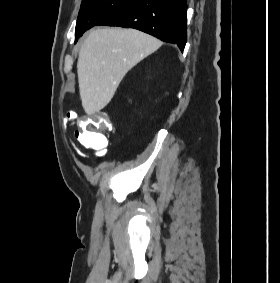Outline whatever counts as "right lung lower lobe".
Returning <instances> with one entry per match:
<instances>
[{"instance_id":"1","label":"right lung lower lobe","mask_w":280,"mask_h":283,"mask_svg":"<svg viewBox=\"0 0 280 283\" xmlns=\"http://www.w3.org/2000/svg\"><path fill=\"white\" fill-rule=\"evenodd\" d=\"M186 0H134L98 25L135 28L176 44L181 51L187 41Z\"/></svg>"}]
</instances>
